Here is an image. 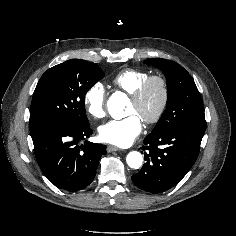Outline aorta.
<instances>
[{
	"label": "aorta",
	"mask_w": 236,
	"mask_h": 236,
	"mask_svg": "<svg viewBox=\"0 0 236 236\" xmlns=\"http://www.w3.org/2000/svg\"><path fill=\"white\" fill-rule=\"evenodd\" d=\"M126 101L127 97L125 94L121 92L113 93L107 102L109 114L115 119H120L123 115L122 111ZM126 161L130 168L138 169L142 166L143 158L141 153L132 151L128 153Z\"/></svg>",
	"instance_id": "aorta-1"
}]
</instances>
